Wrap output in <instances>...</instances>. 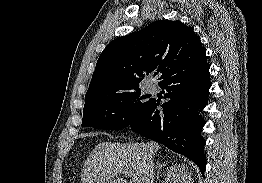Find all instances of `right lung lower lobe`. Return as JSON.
I'll list each match as a JSON object with an SVG mask.
<instances>
[{
  "instance_id": "98d812e1",
  "label": "right lung lower lobe",
  "mask_w": 262,
  "mask_h": 183,
  "mask_svg": "<svg viewBox=\"0 0 262 183\" xmlns=\"http://www.w3.org/2000/svg\"><path fill=\"white\" fill-rule=\"evenodd\" d=\"M209 64L173 75L158 85L164 90L167 102L151 99L150 104L129 125L132 130L157 141L174 152L192 160L204 174L205 140L200 131L205 124L197 115L206 106L211 86ZM162 109L158 110L157 107Z\"/></svg>"
}]
</instances>
